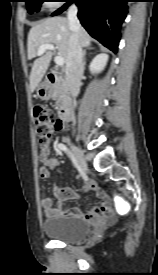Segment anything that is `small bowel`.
I'll return each mask as SVG.
<instances>
[{"label": "small bowel", "mask_w": 158, "mask_h": 275, "mask_svg": "<svg viewBox=\"0 0 158 275\" xmlns=\"http://www.w3.org/2000/svg\"><path fill=\"white\" fill-rule=\"evenodd\" d=\"M63 129V124L60 122V126L56 129V131H62ZM39 159L42 163V166L39 171L40 177L42 179H49L51 177V171L59 166L60 161L57 157H52L50 155L49 146H47L46 148H41ZM87 189L93 190L100 201L99 205L94 207L89 212H83L78 208L67 210L61 207L53 208L52 199L48 196H45L41 199V208L43 212L48 216L63 214L81 216L84 218H100L101 216L106 217L104 213L109 210L108 197L106 194L100 191L98 186L92 181H87L86 185L78 191L70 187L54 186L53 193L60 201H64L77 198L80 192L85 191Z\"/></svg>", "instance_id": "1"}]
</instances>
